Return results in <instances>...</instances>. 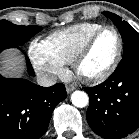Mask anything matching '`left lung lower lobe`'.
Returning a JSON list of instances; mask_svg holds the SVG:
<instances>
[{"mask_svg":"<svg viewBox=\"0 0 139 139\" xmlns=\"http://www.w3.org/2000/svg\"><path fill=\"white\" fill-rule=\"evenodd\" d=\"M85 90L86 117L95 133L106 139L132 134L139 127V47L123 55L105 82Z\"/></svg>","mask_w":139,"mask_h":139,"instance_id":"left-lung-lower-lobe-1","label":"left lung lower lobe"}]
</instances>
